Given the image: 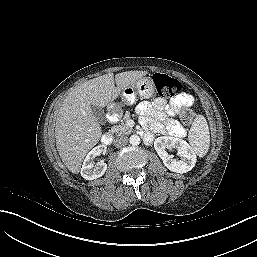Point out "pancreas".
<instances>
[{"label": "pancreas", "mask_w": 257, "mask_h": 257, "mask_svg": "<svg viewBox=\"0 0 257 257\" xmlns=\"http://www.w3.org/2000/svg\"><path fill=\"white\" fill-rule=\"evenodd\" d=\"M111 132L118 135H127L132 133L133 129L127 125L126 121H123L120 125L114 126L111 129Z\"/></svg>", "instance_id": "pancreas-1"}]
</instances>
